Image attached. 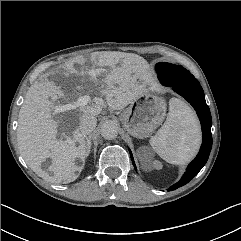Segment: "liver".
<instances>
[{
    "label": "liver",
    "instance_id": "6515ba94",
    "mask_svg": "<svg viewBox=\"0 0 241 241\" xmlns=\"http://www.w3.org/2000/svg\"><path fill=\"white\" fill-rule=\"evenodd\" d=\"M90 60L92 69L89 71L84 68L77 70L73 66L74 62H69L66 63L63 74L66 77L80 76L82 83L93 82L105 96L111 110L125 108L148 91L147 85L151 82L149 65L142 57L131 53L104 51L92 54ZM105 67L110 70L101 77ZM82 90L83 87L78 85L71 94L65 87L62 89L48 81L45 75L39 82L31 85L19 111L17 140L21 155L29 167L33 170L38 167L37 173L52 183H70L78 178L88 156L86 141L78 125L84 114L97 116L104 107V101L99 97H95L89 105L80 106L75 113L69 110L78 107V102L64 105L66 115L75 117L76 128L72 137L66 140L57 139L58 122L51 112L54 103L58 98L73 99ZM46 158L52 159L49 168L52 176L40 169ZM77 160L81 162L80 165L76 164Z\"/></svg>",
    "mask_w": 241,
    "mask_h": 241
}]
</instances>
